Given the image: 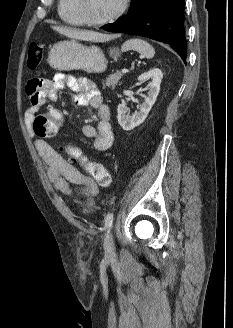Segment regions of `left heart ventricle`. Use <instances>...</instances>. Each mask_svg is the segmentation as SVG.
<instances>
[{
    "mask_svg": "<svg viewBox=\"0 0 233 328\" xmlns=\"http://www.w3.org/2000/svg\"><path fill=\"white\" fill-rule=\"evenodd\" d=\"M122 0H85L86 11L93 19H102L113 13Z\"/></svg>",
    "mask_w": 233,
    "mask_h": 328,
    "instance_id": "1",
    "label": "left heart ventricle"
}]
</instances>
